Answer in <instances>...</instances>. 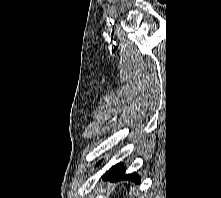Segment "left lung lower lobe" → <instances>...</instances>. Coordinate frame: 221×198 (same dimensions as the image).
<instances>
[{
    "label": "left lung lower lobe",
    "mask_w": 221,
    "mask_h": 198,
    "mask_svg": "<svg viewBox=\"0 0 221 198\" xmlns=\"http://www.w3.org/2000/svg\"><path fill=\"white\" fill-rule=\"evenodd\" d=\"M106 180L117 181L121 179L133 180L137 183L140 182V177L137 174H125V167L123 164H116L103 176Z\"/></svg>",
    "instance_id": "0a47b994"
}]
</instances>
